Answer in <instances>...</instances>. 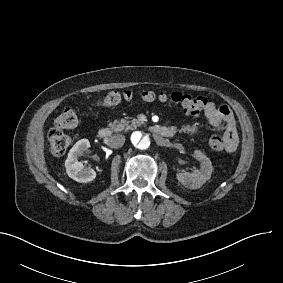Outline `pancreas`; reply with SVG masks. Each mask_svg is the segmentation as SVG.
Instances as JSON below:
<instances>
[{"instance_id": "obj_1", "label": "pancreas", "mask_w": 283, "mask_h": 283, "mask_svg": "<svg viewBox=\"0 0 283 283\" xmlns=\"http://www.w3.org/2000/svg\"><path fill=\"white\" fill-rule=\"evenodd\" d=\"M141 124L142 123L138 121L137 119H133L131 121L122 119L120 122L115 120L113 123H110L108 127L110 128L111 131L119 132L122 130L127 131L129 129L136 128L140 126Z\"/></svg>"}]
</instances>
